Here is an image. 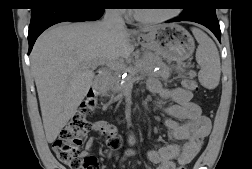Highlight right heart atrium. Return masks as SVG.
<instances>
[{
    "mask_svg": "<svg viewBox=\"0 0 252 169\" xmlns=\"http://www.w3.org/2000/svg\"><path fill=\"white\" fill-rule=\"evenodd\" d=\"M112 11L116 15H118L120 17H128V10L127 9H123V8H121V9H112Z\"/></svg>",
    "mask_w": 252,
    "mask_h": 169,
    "instance_id": "d8ad5b80",
    "label": "right heart atrium"
}]
</instances>
